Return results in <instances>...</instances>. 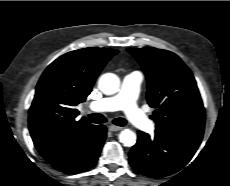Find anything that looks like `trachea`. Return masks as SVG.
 I'll return each mask as SVG.
<instances>
[{"mask_svg": "<svg viewBox=\"0 0 230 186\" xmlns=\"http://www.w3.org/2000/svg\"><path fill=\"white\" fill-rule=\"evenodd\" d=\"M93 123H105L107 120L102 114L93 113L88 116ZM113 123L117 126H125L127 121L124 118H115Z\"/></svg>", "mask_w": 230, "mask_h": 186, "instance_id": "trachea-1", "label": "trachea"}]
</instances>
